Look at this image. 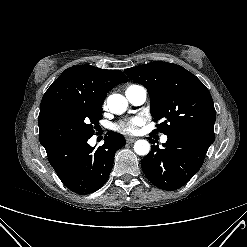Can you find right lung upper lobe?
<instances>
[{"mask_svg":"<svg viewBox=\"0 0 247 247\" xmlns=\"http://www.w3.org/2000/svg\"><path fill=\"white\" fill-rule=\"evenodd\" d=\"M128 79L120 70H104L91 65L66 69L44 94L39 113V130L53 111L81 104L101 105L107 93Z\"/></svg>","mask_w":247,"mask_h":247,"instance_id":"right-lung-upper-lobe-1","label":"right lung upper lobe"}]
</instances>
